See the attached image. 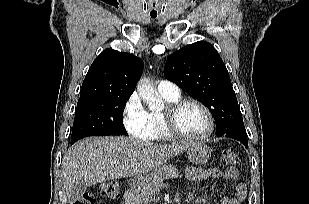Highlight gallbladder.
I'll list each match as a JSON object with an SVG mask.
<instances>
[{
    "instance_id": "1",
    "label": "gallbladder",
    "mask_w": 309,
    "mask_h": 204,
    "mask_svg": "<svg viewBox=\"0 0 309 204\" xmlns=\"http://www.w3.org/2000/svg\"><path fill=\"white\" fill-rule=\"evenodd\" d=\"M85 191H86L85 184L82 181H77L72 189L71 193L72 201L79 200Z\"/></svg>"
}]
</instances>
